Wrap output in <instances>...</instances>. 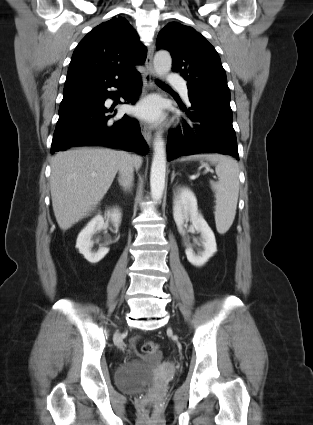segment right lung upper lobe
Wrapping results in <instances>:
<instances>
[{
	"mask_svg": "<svg viewBox=\"0 0 313 425\" xmlns=\"http://www.w3.org/2000/svg\"><path fill=\"white\" fill-rule=\"evenodd\" d=\"M146 47L138 34L121 16L101 23L92 29L76 47L66 82L126 78L135 73L134 65H142Z\"/></svg>",
	"mask_w": 313,
	"mask_h": 425,
	"instance_id": "right-lung-upper-lobe-1",
	"label": "right lung upper lobe"
}]
</instances>
